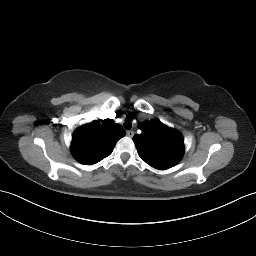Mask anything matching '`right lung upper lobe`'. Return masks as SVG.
I'll list each match as a JSON object with an SVG mask.
<instances>
[{
	"mask_svg": "<svg viewBox=\"0 0 256 256\" xmlns=\"http://www.w3.org/2000/svg\"><path fill=\"white\" fill-rule=\"evenodd\" d=\"M125 130L111 119L94 120L78 128L72 136L71 152L82 164H95L113 151Z\"/></svg>",
	"mask_w": 256,
	"mask_h": 256,
	"instance_id": "1",
	"label": "right lung upper lobe"
}]
</instances>
